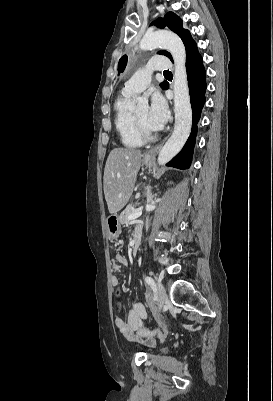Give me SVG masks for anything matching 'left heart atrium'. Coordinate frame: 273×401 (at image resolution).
<instances>
[{
  "instance_id": "obj_1",
  "label": "left heart atrium",
  "mask_w": 273,
  "mask_h": 401,
  "mask_svg": "<svg viewBox=\"0 0 273 401\" xmlns=\"http://www.w3.org/2000/svg\"><path fill=\"white\" fill-rule=\"evenodd\" d=\"M148 123L153 130H160L168 119V107L160 95H154L148 108Z\"/></svg>"
}]
</instances>
